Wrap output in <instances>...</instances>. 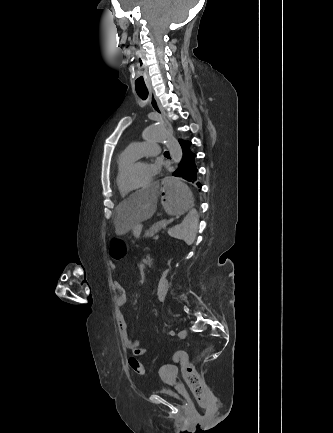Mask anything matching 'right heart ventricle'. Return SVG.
<instances>
[{"mask_svg":"<svg viewBox=\"0 0 333 433\" xmlns=\"http://www.w3.org/2000/svg\"><path fill=\"white\" fill-rule=\"evenodd\" d=\"M136 159L137 157H135L128 149H125L117 158L114 182H115L116 189L121 197H126L128 193L123 191L120 188V184H119L120 176L123 170L125 169V167Z\"/></svg>","mask_w":333,"mask_h":433,"instance_id":"1","label":"right heart ventricle"}]
</instances>
